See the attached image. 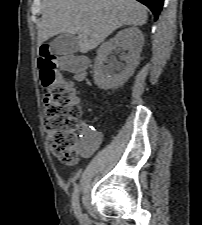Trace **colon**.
Returning a JSON list of instances; mask_svg holds the SVG:
<instances>
[{
  "label": "colon",
  "mask_w": 202,
  "mask_h": 225,
  "mask_svg": "<svg viewBox=\"0 0 202 225\" xmlns=\"http://www.w3.org/2000/svg\"><path fill=\"white\" fill-rule=\"evenodd\" d=\"M62 62L66 69L82 68L85 61L76 54L58 56L51 42H44L39 54L38 66L41 81L46 90L44 101V131L52 155L70 165L76 159L79 138L81 107L73 84L57 73Z\"/></svg>",
  "instance_id": "obj_1"
}]
</instances>
